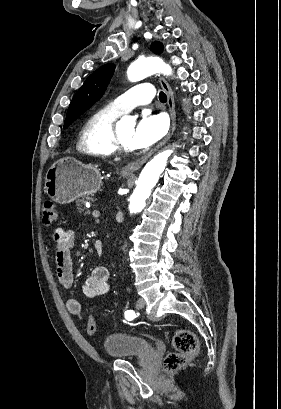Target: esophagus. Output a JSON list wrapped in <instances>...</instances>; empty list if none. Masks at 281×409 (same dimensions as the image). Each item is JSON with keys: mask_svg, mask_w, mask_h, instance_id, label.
<instances>
[{"mask_svg": "<svg viewBox=\"0 0 281 409\" xmlns=\"http://www.w3.org/2000/svg\"><path fill=\"white\" fill-rule=\"evenodd\" d=\"M159 82L161 84V87L167 94V101H168V108H169V114H170V120H171V125L170 129L168 131V134L166 137L152 150L147 152L143 157H141L138 160H135L134 162H130V164L125 165V167L122 168V172L124 173H129L133 174L137 170H139L145 162L151 157V155L156 152V150L160 149L168 140L172 137L174 130L176 128V111H175V103H174V95L173 91L168 84V82L163 78H159Z\"/></svg>", "mask_w": 281, "mask_h": 409, "instance_id": "34e87169", "label": "esophagus"}]
</instances>
